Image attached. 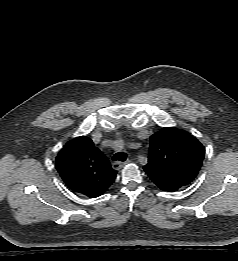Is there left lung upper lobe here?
<instances>
[{
	"label": "left lung upper lobe",
	"instance_id": "5c2ea615",
	"mask_svg": "<svg viewBox=\"0 0 238 261\" xmlns=\"http://www.w3.org/2000/svg\"><path fill=\"white\" fill-rule=\"evenodd\" d=\"M203 145L184 130L165 127L150 137L144 170L164 191H176L197 176L204 159Z\"/></svg>",
	"mask_w": 238,
	"mask_h": 261
}]
</instances>
